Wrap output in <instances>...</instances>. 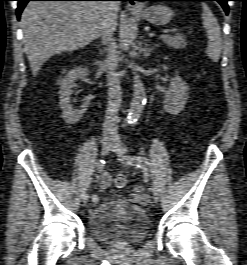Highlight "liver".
<instances>
[{"mask_svg": "<svg viewBox=\"0 0 247 265\" xmlns=\"http://www.w3.org/2000/svg\"><path fill=\"white\" fill-rule=\"evenodd\" d=\"M110 29L116 30L117 14ZM102 2L31 1L21 15L24 50L33 76L52 56L82 49L100 36L104 17Z\"/></svg>", "mask_w": 247, "mask_h": 265, "instance_id": "6515ba94", "label": "liver"}]
</instances>
